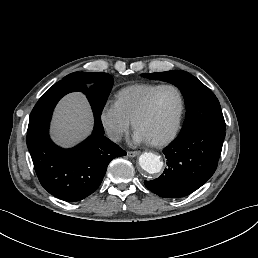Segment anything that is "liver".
Returning <instances> with one entry per match:
<instances>
[{"label":"liver","instance_id":"liver-1","mask_svg":"<svg viewBox=\"0 0 258 258\" xmlns=\"http://www.w3.org/2000/svg\"><path fill=\"white\" fill-rule=\"evenodd\" d=\"M93 128V115L86 97L80 92L66 95L57 105L52 126V139L70 147L86 138Z\"/></svg>","mask_w":258,"mask_h":258}]
</instances>
